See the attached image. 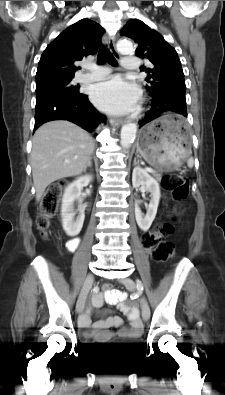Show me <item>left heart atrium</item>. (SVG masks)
I'll use <instances>...</instances> for the list:
<instances>
[{
    "label": "left heart atrium",
    "instance_id": "39dd6f15",
    "mask_svg": "<svg viewBox=\"0 0 225 395\" xmlns=\"http://www.w3.org/2000/svg\"><path fill=\"white\" fill-rule=\"evenodd\" d=\"M137 87L121 77L114 76L94 86L91 99L100 109L120 114L135 109L139 100Z\"/></svg>",
    "mask_w": 225,
    "mask_h": 395
}]
</instances>
